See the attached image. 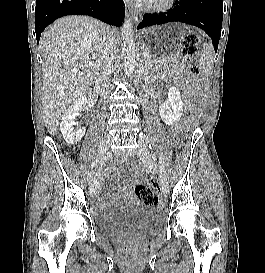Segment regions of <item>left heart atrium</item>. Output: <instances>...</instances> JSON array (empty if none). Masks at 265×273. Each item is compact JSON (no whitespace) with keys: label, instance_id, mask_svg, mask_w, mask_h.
I'll list each match as a JSON object with an SVG mask.
<instances>
[{"label":"left heart atrium","instance_id":"39dd6f15","mask_svg":"<svg viewBox=\"0 0 265 273\" xmlns=\"http://www.w3.org/2000/svg\"><path fill=\"white\" fill-rule=\"evenodd\" d=\"M142 1L147 2V1H151V0H142Z\"/></svg>","mask_w":265,"mask_h":273}]
</instances>
